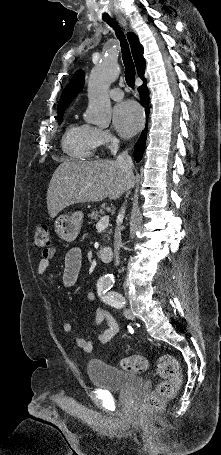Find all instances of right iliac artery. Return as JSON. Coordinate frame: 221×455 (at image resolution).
<instances>
[{"label":"right iliac artery","mask_w":221,"mask_h":455,"mask_svg":"<svg viewBox=\"0 0 221 455\" xmlns=\"http://www.w3.org/2000/svg\"><path fill=\"white\" fill-rule=\"evenodd\" d=\"M125 334H130V329H125Z\"/></svg>","instance_id":"right-iliac-artery-1"}]
</instances>
